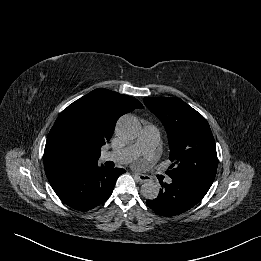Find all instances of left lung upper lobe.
Wrapping results in <instances>:
<instances>
[{
	"label": "left lung upper lobe",
	"mask_w": 261,
	"mask_h": 261,
	"mask_svg": "<svg viewBox=\"0 0 261 261\" xmlns=\"http://www.w3.org/2000/svg\"><path fill=\"white\" fill-rule=\"evenodd\" d=\"M144 103L159 118L168 135L173 164L166 174L214 181L216 145L206 119L180 98H144Z\"/></svg>",
	"instance_id": "1"
}]
</instances>
